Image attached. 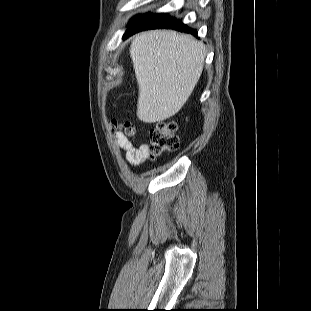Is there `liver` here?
Segmentation results:
<instances>
[{
  "instance_id": "6515ba94",
  "label": "liver",
  "mask_w": 311,
  "mask_h": 311,
  "mask_svg": "<svg viewBox=\"0 0 311 311\" xmlns=\"http://www.w3.org/2000/svg\"><path fill=\"white\" fill-rule=\"evenodd\" d=\"M130 56L139 86L137 117L155 123L186 103L202 74L206 50L191 35L154 30L134 37Z\"/></svg>"
}]
</instances>
